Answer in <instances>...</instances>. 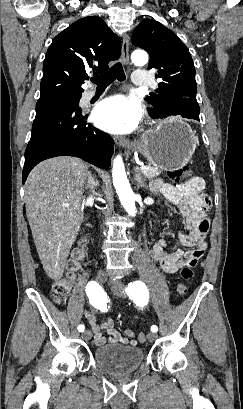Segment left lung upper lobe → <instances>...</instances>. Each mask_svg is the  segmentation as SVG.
Masks as SVG:
<instances>
[{
  "mask_svg": "<svg viewBox=\"0 0 243 409\" xmlns=\"http://www.w3.org/2000/svg\"><path fill=\"white\" fill-rule=\"evenodd\" d=\"M131 39L150 54L148 69L156 68V78L162 79L155 93L146 97L153 106L150 115L163 118L175 109L185 114L199 113L195 67L188 48L177 35L161 23L146 19L135 28Z\"/></svg>",
  "mask_w": 243,
  "mask_h": 409,
  "instance_id": "1",
  "label": "left lung upper lobe"
}]
</instances>
